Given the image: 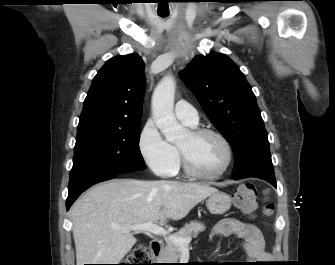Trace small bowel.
I'll list each match as a JSON object with an SVG mask.
<instances>
[{
	"label": "small bowel",
	"mask_w": 335,
	"mask_h": 265,
	"mask_svg": "<svg viewBox=\"0 0 335 265\" xmlns=\"http://www.w3.org/2000/svg\"><path fill=\"white\" fill-rule=\"evenodd\" d=\"M214 236H235L241 239L247 259L255 261L254 263H266L270 259L261 231L252 224L235 218H225L213 228L212 237Z\"/></svg>",
	"instance_id": "small-bowel-1"
}]
</instances>
